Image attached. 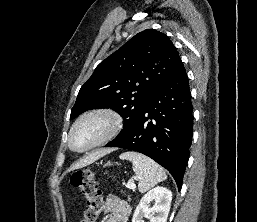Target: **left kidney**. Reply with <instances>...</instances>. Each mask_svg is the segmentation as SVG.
I'll return each instance as SVG.
<instances>
[{
  "mask_svg": "<svg viewBox=\"0 0 257 222\" xmlns=\"http://www.w3.org/2000/svg\"><path fill=\"white\" fill-rule=\"evenodd\" d=\"M172 192L165 187H155L147 192L136 207L132 222H144L143 217L149 215L150 222H166L170 211ZM154 203L153 207L150 204ZM157 213L154 217L153 214Z\"/></svg>",
  "mask_w": 257,
  "mask_h": 222,
  "instance_id": "1",
  "label": "left kidney"
}]
</instances>
